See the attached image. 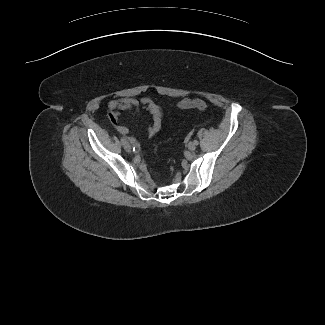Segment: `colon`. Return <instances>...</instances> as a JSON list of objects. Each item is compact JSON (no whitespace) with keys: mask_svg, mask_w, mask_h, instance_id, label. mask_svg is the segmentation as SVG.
Here are the masks:
<instances>
[{"mask_svg":"<svg viewBox=\"0 0 325 325\" xmlns=\"http://www.w3.org/2000/svg\"><path fill=\"white\" fill-rule=\"evenodd\" d=\"M207 107L208 106L206 102L200 99H185L178 104V108L180 109L195 108V109L204 110Z\"/></svg>","mask_w":325,"mask_h":325,"instance_id":"colon-1","label":"colon"}]
</instances>
